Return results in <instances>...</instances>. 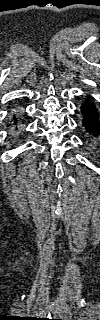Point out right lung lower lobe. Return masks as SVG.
I'll list each match as a JSON object with an SVG mask.
<instances>
[{
	"label": "right lung lower lobe",
	"instance_id": "98d812e1",
	"mask_svg": "<svg viewBox=\"0 0 100 320\" xmlns=\"http://www.w3.org/2000/svg\"><path fill=\"white\" fill-rule=\"evenodd\" d=\"M11 120L13 121V124L16 126V124L18 123V117L16 116V114L12 116ZM16 130H17V126H16Z\"/></svg>",
	"mask_w": 100,
	"mask_h": 320
}]
</instances>
